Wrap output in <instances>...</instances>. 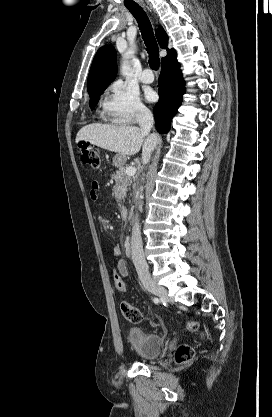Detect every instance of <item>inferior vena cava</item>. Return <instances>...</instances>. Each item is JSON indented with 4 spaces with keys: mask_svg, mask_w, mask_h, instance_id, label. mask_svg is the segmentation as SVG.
<instances>
[{
    "mask_svg": "<svg viewBox=\"0 0 272 417\" xmlns=\"http://www.w3.org/2000/svg\"><path fill=\"white\" fill-rule=\"evenodd\" d=\"M136 120L141 127V130L144 132H149L153 127L154 119L151 111L146 107H140ZM131 250H132V260L136 271L139 276H148V265L145 260L142 238L140 232V226L136 216L135 223L132 228V238H131Z\"/></svg>",
    "mask_w": 272,
    "mask_h": 417,
    "instance_id": "inferior-vena-cava-1",
    "label": "inferior vena cava"
}]
</instances>
